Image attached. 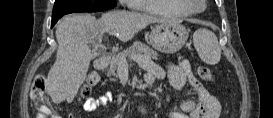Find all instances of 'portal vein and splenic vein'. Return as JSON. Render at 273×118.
<instances>
[{
    "mask_svg": "<svg viewBox=\"0 0 273 118\" xmlns=\"http://www.w3.org/2000/svg\"><path fill=\"white\" fill-rule=\"evenodd\" d=\"M105 31L109 32V34H114V32L112 31H108V30H105ZM130 58L139 64H143L147 59H149L148 57L142 56L140 54H133L130 56ZM121 66L127 67V64L123 63Z\"/></svg>",
    "mask_w": 273,
    "mask_h": 118,
    "instance_id": "18ae733b",
    "label": "portal vein and splenic vein"
}]
</instances>
